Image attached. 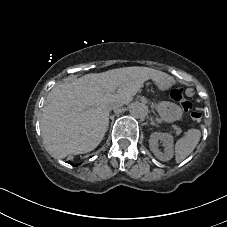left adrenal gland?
Segmentation results:
<instances>
[{
    "label": "left adrenal gland",
    "mask_w": 227,
    "mask_h": 227,
    "mask_svg": "<svg viewBox=\"0 0 227 227\" xmlns=\"http://www.w3.org/2000/svg\"><path fill=\"white\" fill-rule=\"evenodd\" d=\"M150 121H151V123H150L151 125L158 127V125L153 121V118H150Z\"/></svg>",
    "instance_id": "obj_1"
}]
</instances>
